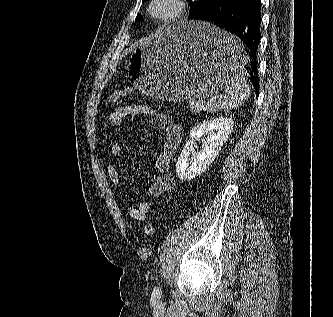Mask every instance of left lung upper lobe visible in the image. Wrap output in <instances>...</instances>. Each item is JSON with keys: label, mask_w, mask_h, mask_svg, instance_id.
Instances as JSON below:
<instances>
[{"label": "left lung upper lobe", "mask_w": 333, "mask_h": 317, "mask_svg": "<svg viewBox=\"0 0 333 317\" xmlns=\"http://www.w3.org/2000/svg\"><path fill=\"white\" fill-rule=\"evenodd\" d=\"M146 1V0H144ZM191 4V10H190V15L192 16L193 14L201 11L205 7H207L212 0H187ZM141 16L140 14L137 15L136 21H141Z\"/></svg>", "instance_id": "left-lung-upper-lobe-1"}]
</instances>
